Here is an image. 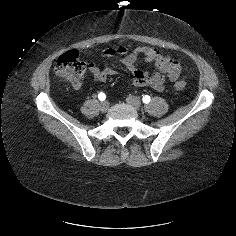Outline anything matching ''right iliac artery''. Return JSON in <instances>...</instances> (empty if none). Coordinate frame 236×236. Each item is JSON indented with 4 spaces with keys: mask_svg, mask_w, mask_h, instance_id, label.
<instances>
[{
    "mask_svg": "<svg viewBox=\"0 0 236 236\" xmlns=\"http://www.w3.org/2000/svg\"><path fill=\"white\" fill-rule=\"evenodd\" d=\"M98 99H99L100 101H104V100L106 99V95H105L103 92H100V93L98 94Z\"/></svg>",
    "mask_w": 236,
    "mask_h": 236,
    "instance_id": "1",
    "label": "right iliac artery"
}]
</instances>
